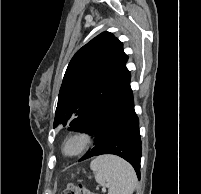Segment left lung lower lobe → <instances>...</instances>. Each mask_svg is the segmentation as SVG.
Returning a JSON list of instances; mask_svg holds the SVG:
<instances>
[{
    "label": "left lung lower lobe",
    "mask_w": 201,
    "mask_h": 194,
    "mask_svg": "<svg viewBox=\"0 0 201 194\" xmlns=\"http://www.w3.org/2000/svg\"><path fill=\"white\" fill-rule=\"evenodd\" d=\"M130 79L129 74L82 131L95 135V146L81 160L102 154L118 155L134 167L140 179L142 146Z\"/></svg>",
    "instance_id": "0a47b994"
}]
</instances>
